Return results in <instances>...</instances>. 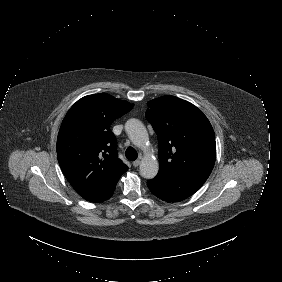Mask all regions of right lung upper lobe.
<instances>
[{
	"instance_id": "obj_1",
	"label": "right lung upper lobe",
	"mask_w": 282,
	"mask_h": 282,
	"mask_svg": "<svg viewBox=\"0 0 282 282\" xmlns=\"http://www.w3.org/2000/svg\"><path fill=\"white\" fill-rule=\"evenodd\" d=\"M134 104L107 93L78 100L67 112L57 138L59 165L72 187L94 201L116 186L128 167L118 158L114 120Z\"/></svg>"
}]
</instances>
